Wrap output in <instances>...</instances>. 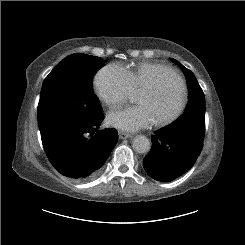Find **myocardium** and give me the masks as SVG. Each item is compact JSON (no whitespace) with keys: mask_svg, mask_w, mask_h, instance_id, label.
I'll return each instance as SVG.
<instances>
[{"mask_svg":"<svg viewBox=\"0 0 245 245\" xmlns=\"http://www.w3.org/2000/svg\"><path fill=\"white\" fill-rule=\"evenodd\" d=\"M161 75H171L177 82L179 86V91H180V104L176 108V110L172 112L171 114H169L168 116L156 121L157 126L164 127V126H167L173 123L175 120H177L181 116L183 111L185 110L186 105H187V90H186V85L183 79L175 70L170 69V68L166 69L165 71L161 72L159 76ZM163 89H164L163 85L153 84V85H150L144 88L141 92L158 95L163 91Z\"/></svg>","mask_w":245,"mask_h":245,"instance_id":"myocardium-1","label":"myocardium"}]
</instances>
